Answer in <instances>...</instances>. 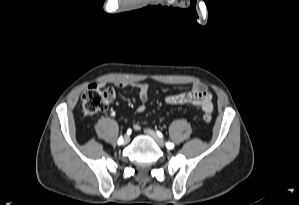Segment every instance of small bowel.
<instances>
[{"label": "small bowel", "mask_w": 299, "mask_h": 205, "mask_svg": "<svg viewBox=\"0 0 299 205\" xmlns=\"http://www.w3.org/2000/svg\"><path fill=\"white\" fill-rule=\"evenodd\" d=\"M104 84H98L99 87H103ZM119 87L123 88L126 87L127 84L119 83ZM138 92L139 100L141 101V105L138 106L137 112L144 113L146 110L145 103L148 100L149 96V85L145 82L133 83L131 84ZM167 104L170 105H195L200 107L204 112L210 113L213 110V103H212V95L207 90V88L200 83H194L191 89L187 92H182L178 94L168 95L165 98ZM134 130L140 129V124L135 123L133 125Z\"/></svg>", "instance_id": "1"}]
</instances>
